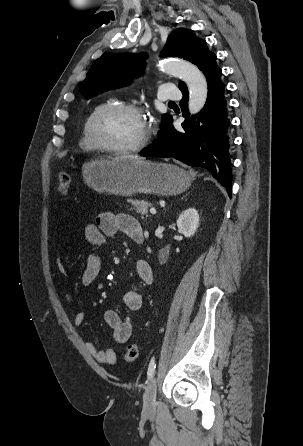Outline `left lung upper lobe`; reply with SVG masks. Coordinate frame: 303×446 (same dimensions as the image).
Wrapping results in <instances>:
<instances>
[{
  "label": "left lung upper lobe",
  "instance_id": "left-lung-upper-lobe-1",
  "mask_svg": "<svg viewBox=\"0 0 303 446\" xmlns=\"http://www.w3.org/2000/svg\"><path fill=\"white\" fill-rule=\"evenodd\" d=\"M163 57H180L197 65L202 70L207 61L215 55L207 48L206 41L198 38L189 29L179 28L173 31L164 49ZM146 55L104 53L94 61L87 76L80 86V92L86 99L110 89L126 86L134 77L142 73ZM186 87L184 82L179 88ZM163 127L171 118L169 114L162 115Z\"/></svg>",
  "mask_w": 303,
  "mask_h": 446
}]
</instances>
